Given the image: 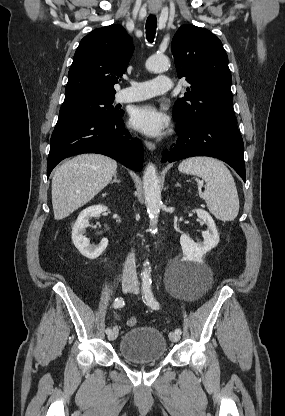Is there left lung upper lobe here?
Instances as JSON below:
<instances>
[{
    "instance_id": "5c2ea615",
    "label": "left lung upper lobe",
    "mask_w": 285,
    "mask_h": 416,
    "mask_svg": "<svg viewBox=\"0 0 285 416\" xmlns=\"http://www.w3.org/2000/svg\"><path fill=\"white\" fill-rule=\"evenodd\" d=\"M177 74L190 87L173 109L177 128H188L212 117L234 116L232 77L221 41L209 30L181 26L171 44Z\"/></svg>"
}]
</instances>
